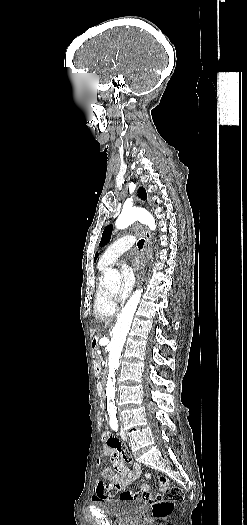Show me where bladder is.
<instances>
[{"label":"bladder","mask_w":247,"mask_h":525,"mask_svg":"<svg viewBox=\"0 0 247 525\" xmlns=\"http://www.w3.org/2000/svg\"><path fill=\"white\" fill-rule=\"evenodd\" d=\"M93 506L108 517L125 518L142 510L143 498L135 500L125 498L106 499L93 502Z\"/></svg>","instance_id":"obj_1"}]
</instances>
